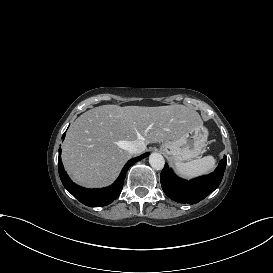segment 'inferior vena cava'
I'll use <instances>...</instances> for the list:
<instances>
[{
	"label": "inferior vena cava",
	"instance_id": "602c4592",
	"mask_svg": "<svg viewBox=\"0 0 273 273\" xmlns=\"http://www.w3.org/2000/svg\"><path fill=\"white\" fill-rule=\"evenodd\" d=\"M146 145L144 144L143 141L141 140H134L131 142H128L126 150L128 151V153L130 154H138L141 153L145 150Z\"/></svg>",
	"mask_w": 273,
	"mask_h": 273
}]
</instances>
